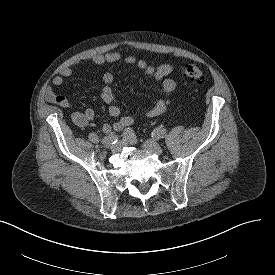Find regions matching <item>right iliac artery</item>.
<instances>
[{"label":"right iliac artery","instance_id":"obj_1","mask_svg":"<svg viewBox=\"0 0 275 275\" xmlns=\"http://www.w3.org/2000/svg\"><path fill=\"white\" fill-rule=\"evenodd\" d=\"M134 136V132L131 128H127L123 131V133L121 134V137L123 139H131ZM89 139L90 141H92L93 143H98L100 141L99 137L97 136V134L95 133H90L89 134ZM118 140V137L116 135H108L106 137H104L102 139V142L106 145H110V144H115Z\"/></svg>","mask_w":275,"mask_h":275}]
</instances>
